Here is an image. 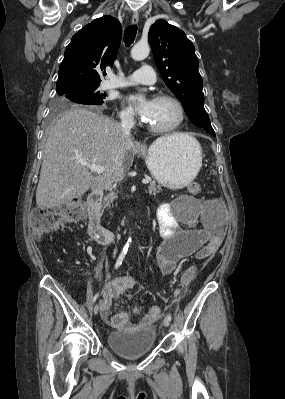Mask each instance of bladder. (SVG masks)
Masks as SVG:
<instances>
[{
  "label": "bladder",
  "mask_w": 285,
  "mask_h": 399,
  "mask_svg": "<svg viewBox=\"0 0 285 399\" xmlns=\"http://www.w3.org/2000/svg\"><path fill=\"white\" fill-rule=\"evenodd\" d=\"M193 198L179 197L176 205H187ZM108 347L125 359H135L150 353L155 346L156 332L149 327L133 328L125 332H109L106 335Z\"/></svg>",
  "instance_id": "31cf9c89"
}]
</instances>
